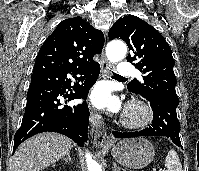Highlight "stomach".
<instances>
[{
	"label": "stomach",
	"instance_id": "stomach-1",
	"mask_svg": "<svg viewBox=\"0 0 199 171\" xmlns=\"http://www.w3.org/2000/svg\"><path fill=\"white\" fill-rule=\"evenodd\" d=\"M111 154L121 165L140 169L148 166L155 155L153 145L145 138L122 139L113 145Z\"/></svg>",
	"mask_w": 199,
	"mask_h": 171
}]
</instances>
